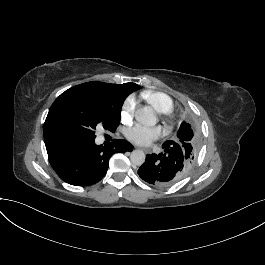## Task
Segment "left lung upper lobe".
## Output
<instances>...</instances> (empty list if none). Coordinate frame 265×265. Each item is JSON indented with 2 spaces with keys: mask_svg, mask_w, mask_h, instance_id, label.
Instances as JSON below:
<instances>
[{
  "mask_svg": "<svg viewBox=\"0 0 265 265\" xmlns=\"http://www.w3.org/2000/svg\"><path fill=\"white\" fill-rule=\"evenodd\" d=\"M200 134L191 126V124L183 122L178 130L175 140L167 141L168 144L176 143V147L181 150L184 155V174H187L194 166L200 147Z\"/></svg>",
  "mask_w": 265,
  "mask_h": 265,
  "instance_id": "left-lung-upper-lobe-1",
  "label": "left lung upper lobe"
}]
</instances>
